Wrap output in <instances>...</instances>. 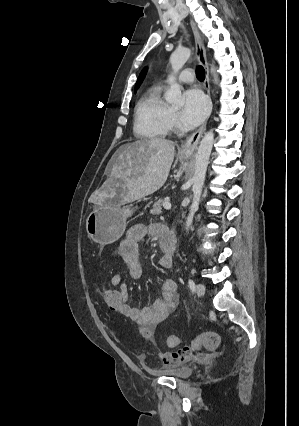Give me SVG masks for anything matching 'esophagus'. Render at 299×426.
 Instances as JSON below:
<instances>
[{
    "instance_id": "obj_1",
    "label": "esophagus",
    "mask_w": 299,
    "mask_h": 426,
    "mask_svg": "<svg viewBox=\"0 0 299 426\" xmlns=\"http://www.w3.org/2000/svg\"><path fill=\"white\" fill-rule=\"evenodd\" d=\"M191 28L194 34L195 39V46H196V58L198 62L204 67L205 69V81H204V88L207 91V94L210 96V76H209V67L208 62L206 58V49L203 44L202 37L200 35V32L196 26V24L191 20L190 21ZM211 110H212V102H211ZM206 123L205 122L197 131L192 133L182 144L181 147V154L183 155H192L198 146L199 140L202 137V134L204 133L206 129Z\"/></svg>"
}]
</instances>
